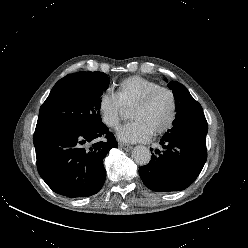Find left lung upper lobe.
<instances>
[{
	"label": "left lung upper lobe",
	"instance_id": "obj_1",
	"mask_svg": "<svg viewBox=\"0 0 248 248\" xmlns=\"http://www.w3.org/2000/svg\"><path fill=\"white\" fill-rule=\"evenodd\" d=\"M168 87L173 91L177 113L173 127L165 135L181 131L206 135L208 124L201 105L181 83L171 81Z\"/></svg>",
	"mask_w": 248,
	"mask_h": 248
}]
</instances>
